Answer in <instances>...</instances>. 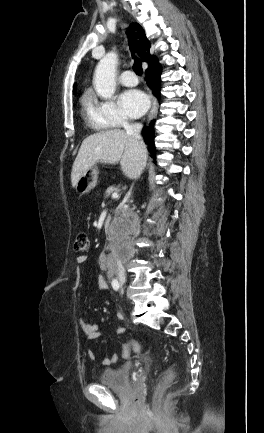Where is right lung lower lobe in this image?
I'll list each match as a JSON object with an SVG mask.
<instances>
[{
    "instance_id": "98d812e1",
    "label": "right lung lower lobe",
    "mask_w": 264,
    "mask_h": 433,
    "mask_svg": "<svg viewBox=\"0 0 264 433\" xmlns=\"http://www.w3.org/2000/svg\"><path fill=\"white\" fill-rule=\"evenodd\" d=\"M160 75H161V66L159 63H156L154 65H150V67L146 70V81L148 86L152 89L153 94L160 98ZM154 123L155 120H152L150 125L144 126V129L142 131V135L145 139V142L148 144V149L151 152H155L154 147Z\"/></svg>"
}]
</instances>
